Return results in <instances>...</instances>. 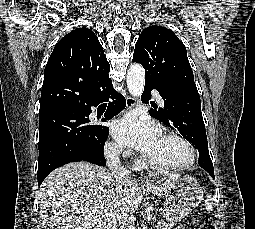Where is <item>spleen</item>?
Listing matches in <instances>:
<instances>
[{"mask_svg":"<svg viewBox=\"0 0 255 229\" xmlns=\"http://www.w3.org/2000/svg\"><path fill=\"white\" fill-rule=\"evenodd\" d=\"M213 197L211 195L208 196L207 200L205 201V208L208 211H213Z\"/></svg>","mask_w":255,"mask_h":229,"instance_id":"3e777b00","label":"spleen"}]
</instances>
